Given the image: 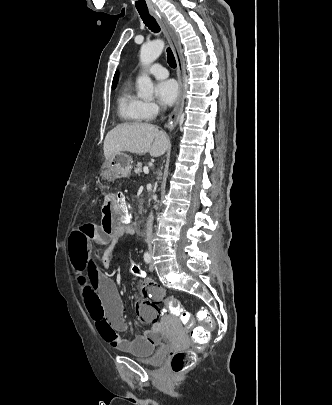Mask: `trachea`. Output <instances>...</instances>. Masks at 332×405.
Returning a JSON list of instances; mask_svg holds the SVG:
<instances>
[{
  "mask_svg": "<svg viewBox=\"0 0 332 405\" xmlns=\"http://www.w3.org/2000/svg\"><path fill=\"white\" fill-rule=\"evenodd\" d=\"M140 17L142 18L144 24L152 31L155 33H158L160 31V27L157 23V21L155 20V18L149 13L148 10L146 11H139ZM167 60H168V64L170 65V67L172 68H176V60L174 57V54L172 52V50L170 48H167Z\"/></svg>",
  "mask_w": 332,
  "mask_h": 405,
  "instance_id": "trachea-1",
  "label": "trachea"
}]
</instances>
